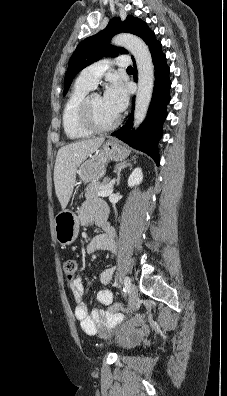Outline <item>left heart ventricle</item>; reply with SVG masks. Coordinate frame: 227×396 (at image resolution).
<instances>
[{
    "instance_id": "obj_1",
    "label": "left heart ventricle",
    "mask_w": 227,
    "mask_h": 396,
    "mask_svg": "<svg viewBox=\"0 0 227 396\" xmlns=\"http://www.w3.org/2000/svg\"><path fill=\"white\" fill-rule=\"evenodd\" d=\"M91 104L94 116L100 124H108L117 117L106 107L101 95L95 94L92 97Z\"/></svg>"
}]
</instances>
